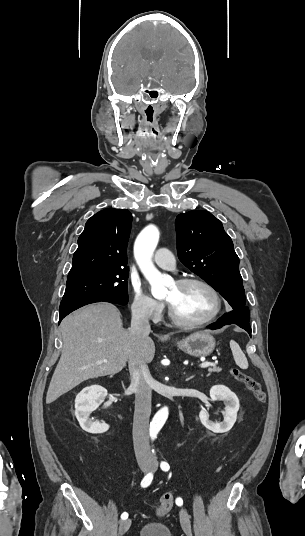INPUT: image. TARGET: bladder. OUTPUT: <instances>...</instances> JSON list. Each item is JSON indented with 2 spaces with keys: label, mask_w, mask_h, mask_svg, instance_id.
Here are the masks:
<instances>
[{
  "label": "bladder",
  "mask_w": 305,
  "mask_h": 536,
  "mask_svg": "<svg viewBox=\"0 0 305 536\" xmlns=\"http://www.w3.org/2000/svg\"><path fill=\"white\" fill-rule=\"evenodd\" d=\"M136 536H172L170 528L160 521H147L139 527Z\"/></svg>",
  "instance_id": "obj_1"
}]
</instances>
